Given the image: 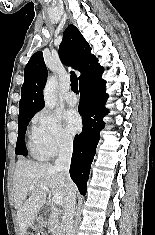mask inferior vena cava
<instances>
[{"label": "inferior vena cava", "instance_id": "obj_1", "mask_svg": "<svg viewBox=\"0 0 155 235\" xmlns=\"http://www.w3.org/2000/svg\"><path fill=\"white\" fill-rule=\"evenodd\" d=\"M72 150H73L72 139L63 140L60 145L58 158L55 160V168L63 173V177L68 185L66 200H65L66 235H75L72 220L76 204V191L73 189V182L71 181L69 175Z\"/></svg>", "mask_w": 155, "mask_h": 235}]
</instances>
